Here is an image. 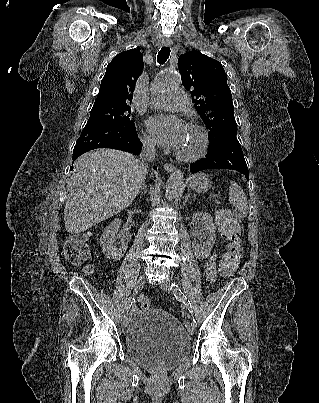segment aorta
I'll list each match as a JSON object with an SVG mask.
<instances>
[{
	"instance_id": "aorta-1",
	"label": "aorta",
	"mask_w": 319,
	"mask_h": 403,
	"mask_svg": "<svg viewBox=\"0 0 319 403\" xmlns=\"http://www.w3.org/2000/svg\"><path fill=\"white\" fill-rule=\"evenodd\" d=\"M180 84V79L177 74L162 72L160 73L153 84V88L156 91H165L169 88L177 87ZM184 185V173L181 170H176L171 174L170 178L166 183L165 197L168 200L177 197Z\"/></svg>"
}]
</instances>
